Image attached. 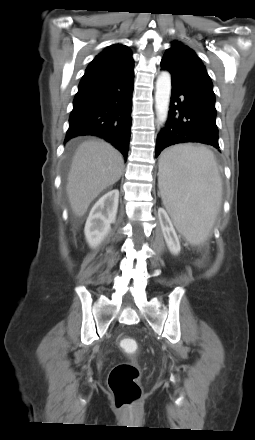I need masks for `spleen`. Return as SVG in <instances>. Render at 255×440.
Returning a JSON list of instances; mask_svg holds the SVG:
<instances>
[{"label":"spleen","mask_w":255,"mask_h":440,"mask_svg":"<svg viewBox=\"0 0 255 440\" xmlns=\"http://www.w3.org/2000/svg\"><path fill=\"white\" fill-rule=\"evenodd\" d=\"M159 188L175 227L192 244L207 240L222 200V181L212 151L178 145L159 165Z\"/></svg>","instance_id":"obj_1"}]
</instances>
